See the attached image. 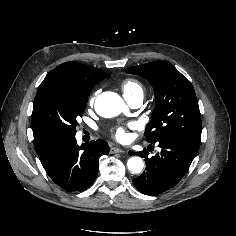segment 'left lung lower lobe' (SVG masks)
Returning a JSON list of instances; mask_svg holds the SVG:
<instances>
[{"mask_svg":"<svg viewBox=\"0 0 236 236\" xmlns=\"http://www.w3.org/2000/svg\"><path fill=\"white\" fill-rule=\"evenodd\" d=\"M161 152L148 158L146 150L133 153L146 160V170L133 179L134 186L143 194L158 195L174 187L188 171L200 143L170 138L157 141Z\"/></svg>","mask_w":236,"mask_h":236,"instance_id":"left-lung-lower-lobe-1","label":"left lung lower lobe"}]
</instances>
